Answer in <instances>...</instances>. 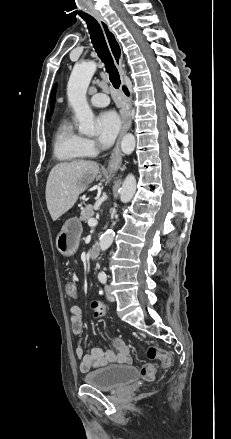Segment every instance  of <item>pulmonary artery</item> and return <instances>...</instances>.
Wrapping results in <instances>:
<instances>
[{
  "label": "pulmonary artery",
  "instance_id": "e3ab8cb5",
  "mask_svg": "<svg viewBox=\"0 0 231 439\" xmlns=\"http://www.w3.org/2000/svg\"><path fill=\"white\" fill-rule=\"evenodd\" d=\"M109 102V97L105 93H95L90 98V103L94 107H106Z\"/></svg>",
  "mask_w": 231,
  "mask_h": 439
}]
</instances>
